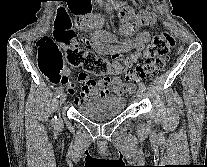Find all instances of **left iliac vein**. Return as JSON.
I'll return each instance as SVG.
<instances>
[{"instance_id": "left-iliac-vein-1", "label": "left iliac vein", "mask_w": 207, "mask_h": 167, "mask_svg": "<svg viewBox=\"0 0 207 167\" xmlns=\"http://www.w3.org/2000/svg\"><path fill=\"white\" fill-rule=\"evenodd\" d=\"M136 95H137V97H139V98L143 97V90L139 88V89L137 90V92H136Z\"/></svg>"}]
</instances>
